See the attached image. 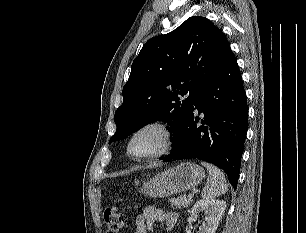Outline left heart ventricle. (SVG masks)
Instances as JSON below:
<instances>
[{
	"label": "left heart ventricle",
	"instance_id": "left-heart-ventricle-1",
	"mask_svg": "<svg viewBox=\"0 0 306 233\" xmlns=\"http://www.w3.org/2000/svg\"><path fill=\"white\" fill-rule=\"evenodd\" d=\"M162 139V134L158 130H144L133 139L130 146L131 153L135 156L151 154L160 148Z\"/></svg>",
	"mask_w": 306,
	"mask_h": 233
}]
</instances>
